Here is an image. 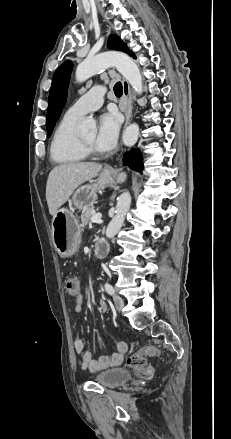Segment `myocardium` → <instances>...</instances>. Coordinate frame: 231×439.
Returning <instances> with one entry per match:
<instances>
[{
	"mask_svg": "<svg viewBox=\"0 0 231 439\" xmlns=\"http://www.w3.org/2000/svg\"><path fill=\"white\" fill-rule=\"evenodd\" d=\"M80 143L87 154H96L97 151L93 145L86 142L82 137L79 136Z\"/></svg>",
	"mask_w": 231,
	"mask_h": 439,
	"instance_id": "1",
	"label": "myocardium"
}]
</instances>
